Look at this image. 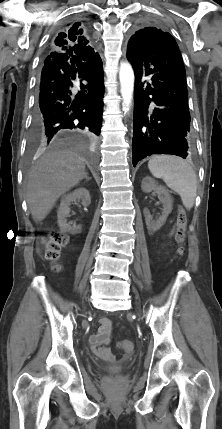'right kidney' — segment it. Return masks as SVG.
Returning <instances> with one entry per match:
<instances>
[{
    "label": "right kidney",
    "mask_w": 222,
    "mask_h": 429,
    "mask_svg": "<svg viewBox=\"0 0 222 429\" xmlns=\"http://www.w3.org/2000/svg\"><path fill=\"white\" fill-rule=\"evenodd\" d=\"M76 201H81L83 206H88L91 203L89 191L85 188H78L73 192L64 195L61 199L60 207L58 209L57 217H58V226L61 230L67 231L71 230L72 227L67 222V217L70 214V205L76 203ZM81 226H77L73 228L75 233L80 232Z\"/></svg>",
    "instance_id": "obj_1"
}]
</instances>
